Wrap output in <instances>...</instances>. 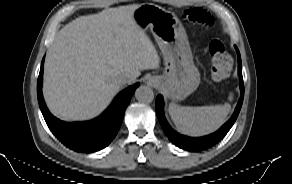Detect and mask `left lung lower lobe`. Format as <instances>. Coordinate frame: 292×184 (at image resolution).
I'll list each match as a JSON object with an SVG mask.
<instances>
[{
  "mask_svg": "<svg viewBox=\"0 0 292 184\" xmlns=\"http://www.w3.org/2000/svg\"><path fill=\"white\" fill-rule=\"evenodd\" d=\"M238 72H239L240 81H241V84H240L241 97H240L239 103L237 104V107L235 109L233 116L217 132L205 137L190 138L187 136L180 135L179 133L174 131L169 126V124L167 123L164 117L162 97L161 96L157 97L155 107H156V113H157L158 119L160 121V124L165 134L175 145L189 151L204 150L218 143L227 134V132L230 130V128L236 121V118L242 106L243 96H244V83H243V78H242V65H241V58H240L239 51H238Z\"/></svg>",
  "mask_w": 292,
  "mask_h": 184,
  "instance_id": "1",
  "label": "left lung lower lobe"
}]
</instances>
